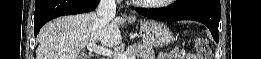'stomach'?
Masks as SVG:
<instances>
[{
	"label": "stomach",
	"mask_w": 261,
	"mask_h": 59,
	"mask_svg": "<svg viewBox=\"0 0 261 59\" xmlns=\"http://www.w3.org/2000/svg\"><path fill=\"white\" fill-rule=\"evenodd\" d=\"M140 36L143 42L151 47H163L170 44L173 35L170 29L162 22L144 20L140 24Z\"/></svg>",
	"instance_id": "obj_1"
}]
</instances>
